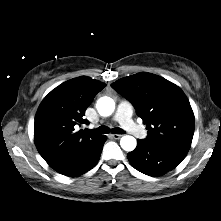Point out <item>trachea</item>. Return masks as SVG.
I'll use <instances>...</instances> for the list:
<instances>
[{"label": "trachea", "instance_id": "obj_1", "mask_svg": "<svg viewBox=\"0 0 221 221\" xmlns=\"http://www.w3.org/2000/svg\"><path fill=\"white\" fill-rule=\"evenodd\" d=\"M110 131L114 134H124L125 133V131L119 127L113 128L110 130L107 126H100L96 130H94V132L100 133V134L110 133Z\"/></svg>", "mask_w": 221, "mask_h": 221}]
</instances>
